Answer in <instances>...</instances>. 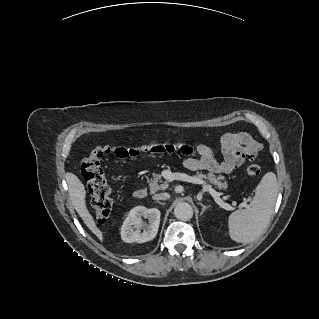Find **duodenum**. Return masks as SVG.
<instances>
[{"label":"duodenum","instance_id":"duodenum-1","mask_svg":"<svg viewBox=\"0 0 319 319\" xmlns=\"http://www.w3.org/2000/svg\"><path fill=\"white\" fill-rule=\"evenodd\" d=\"M146 196H147V191L143 188L137 189L133 193V197L137 200H142L146 198Z\"/></svg>","mask_w":319,"mask_h":319}]
</instances>
